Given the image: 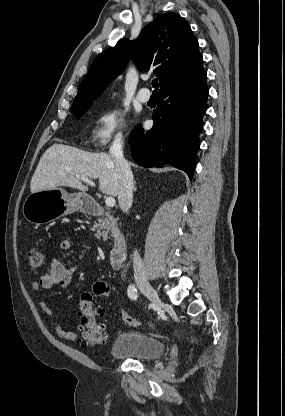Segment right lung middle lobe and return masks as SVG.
<instances>
[{"label": "right lung middle lobe", "mask_w": 285, "mask_h": 416, "mask_svg": "<svg viewBox=\"0 0 285 416\" xmlns=\"http://www.w3.org/2000/svg\"><path fill=\"white\" fill-rule=\"evenodd\" d=\"M91 104L92 103H90V104H88L87 106H84V107L70 109V112L73 113L74 116H76L77 118H80L85 113V111L89 108V106Z\"/></svg>", "instance_id": "dd1d6c3e"}]
</instances>
